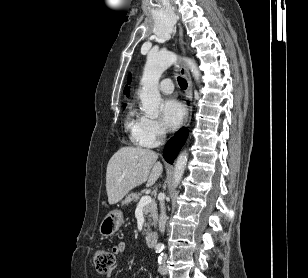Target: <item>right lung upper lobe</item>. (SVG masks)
I'll return each instance as SVG.
<instances>
[{"label":"right lung upper lobe","instance_id":"cb5924a9","mask_svg":"<svg viewBox=\"0 0 308 278\" xmlns=\"http://www.w3.org/2000/svg\"><path fill=\"white\" fill-rule=\"evenodd\" d=\"M130 81H131V75H129L127 83L130 84ZM124 93H125L127 96L129 95V89H128L127 86H126V88H125V90H124Z\"/></svg>","mask_w":308,"mask_h":278}]
</instances>
